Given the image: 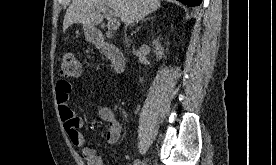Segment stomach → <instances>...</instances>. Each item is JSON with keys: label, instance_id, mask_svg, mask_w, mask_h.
<instances>
[{"label": "stomach", "instance_id": "1", "mask_svg": "<svg viewBox=\"0 0 276 165\" xmlns=\"http://www.w3.org/2000/svg\"><path fill=\"white\" fill-rule=\"evenodd\" d=\"M84 34L85 38L90 42L95 41L98 36L97 30L94 27L89 26H84Z\"/></svg>", "mask_w": 276, "mask_h": 165}]
</instances>
